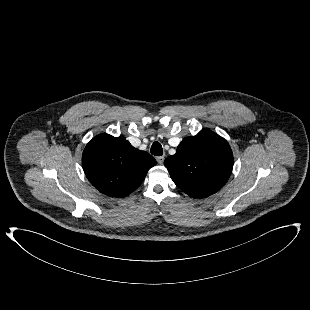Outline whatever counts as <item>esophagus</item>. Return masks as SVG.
<instances>
[{
	"label": "esophagus",
	"mask_w": 310,
	"mask_h": 310,
	"mask_svg": "<svg viewBox=\"0 0 310 310\" xmlns=\"http://www.w3.org/2000/svg\"><path fill=\"white\" fill-rule=\"evenodd\" d=\"M156 160H157L158 164H163L164 157L163 156H159V157L156 158Z\"/></svg>",
	"instance_id": "esophagus-1"
}]
</instances>
